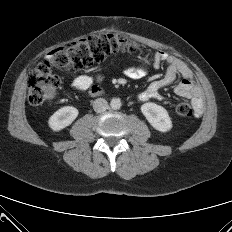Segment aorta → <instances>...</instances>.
<instances>
[{
	"label": "aorta",
	"mask_w": 232,
	"mask_h": 232,
	"mask_svg": "<svg viewBox=\"0 0 232 232\" xmlns=\"http://www.w3.org/2000/svg\"><path fill=\"white\" fill-rule=\"evenodd\" d=\"M110 107L114 110L120 109L121 107V101L119 98H113L110 101Z\"/></svg>",
	"instance_id": "obj_1"
}]
</instances>
